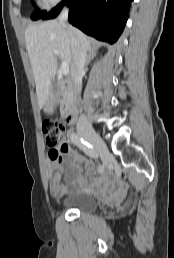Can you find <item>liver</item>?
Wrapping results in <instances>:
<instances>
[{
	"label": "liver",
	"mask_w": 174,
	"mask_h": 258,
	"mask_svg": "<svg viewBox=\"0 0 174 258\" xmlns=\"http://www.w3.org/2000/svg\"><path fill=\"white\" fill-rule=\"evenodd\" d=\"M69 32L86 52L90 41L80 30L60 23L57 20L39 25H29L25 30L26 49L31 62L36 84L38 104L43 108L48 100L57 71V57L54 50L70 67L73 59V46Z\"/></svg>",
	"instance_id": "1"
}]
</instances>
